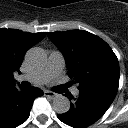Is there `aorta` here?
I'll list each match as a JSON object with an SVG mask.
<instances>
[{
    "mask_svg": "<svg viewBox=\"0 0 128 128\" xmlns=\"http://www.w3.org/2000/svg\"><path fill=\"white\" fill-rule=\"evenodd\" d=\"M26 61L33 67L42 66L46 62V55L41 48H31L25 56ZM53 109L58 114L67 113L70 109V101L66 96L57 95L53 99Z\"/></svg>",
    "mask_w": 128,
    "mask_h": 128,
    "instance_id": "762f6f07",
    "label": "aorta"
}]
</instances>
